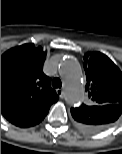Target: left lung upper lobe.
Instances as JSON below:
<instances>
[{
	"instance_id": "obj_1",
	"label": "left lung upper lobe",
	"mask_w": 122,
	"mask_h": 154,
	"mask_svg": "<svg viewBox=\"0 0 122 154\" xmlns=\"http://www.w3.org/2000/svg\"><path fill=\"white\" fill-rule=\"evenodd\" d=\"M84 69L87 79L85 88L89 97L87 105H122V72L106 55L100 52L86 54ZM82 106L71 108V114L77 122Z\"/></svg>"
}]
</instances>
